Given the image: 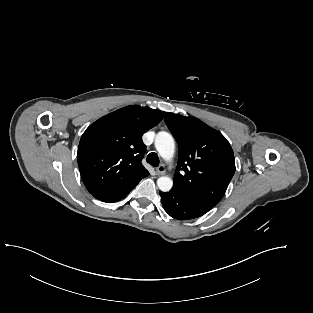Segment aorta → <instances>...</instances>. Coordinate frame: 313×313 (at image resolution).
<instances>
[{
    "label": "aorta",
    "mask_w": 313,
    "mask_h": 313,
    "mask_svg": "<svg viewBox=\"0 0 313 313\" xmlns=\"http://www.w3.org/2000/svg\"><path fill=\"white\" fill-rule=\"evenodd\" d=\"M155 148L164 160H171L175 152V142L172 135L164 131L159 132L155 138ZM157 185L161 191L168 192L173 186V180L170 177L162 176L158 178Z\"/></svg>",
    "instance_id": "aorta-1"
}]
</instances>
